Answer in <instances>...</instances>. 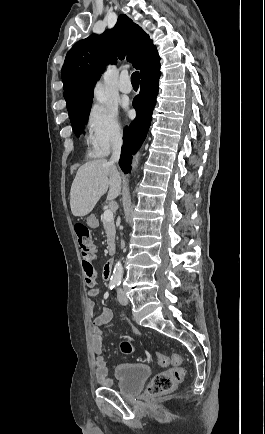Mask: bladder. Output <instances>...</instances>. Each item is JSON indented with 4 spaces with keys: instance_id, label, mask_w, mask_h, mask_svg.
Wrapping results in <instances>:
<instances>
[{
    "instance_id": "obj_1",
    "label": "bladder",
    "mask_w": 265,
    "mask_h": 434,
    "mask_svg": "<svg viewBox=\"0 0 265 434\" xmlns=\"http://www.w3.org/2000/svg\"><path fill=\"white\" fill-rule=\"evenodd\" d=\"M151 375L149 366L141 363H122L114 368L118 392L124 397H134Z\"/></svg>"
}]
</instances>
